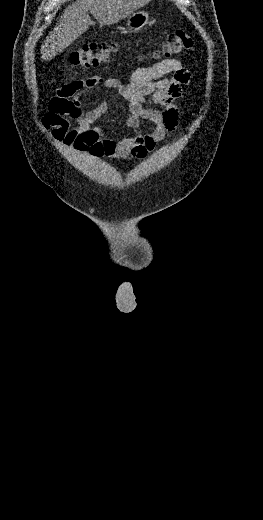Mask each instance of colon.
I'll return each instance as SVG.
<instances>
[{"label":"colon","instance_id":"obj_1","mask_svg":"<svg viewBox=\"0 0 263 520\" xmlns=\"http://www.w3.org/2000/svg\"><path fill=\"white\" fill-rule=\"evenodd\" d=\"M193 45L190 35L182 29L172 32L157 50V56L170 58L180 55ZM117 49L115 42L89 43L74 50L69 56V63L74 67L90 68L109 60Z\"/></svg>","mask_w":263,"mask_h":520}]
</instances>
